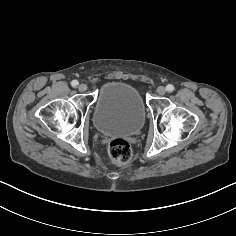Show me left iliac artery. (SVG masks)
Segmentation results:
<instances>
[{"instance_id": "obj_1", "label": "left iliac artery", "mask_w": 236, "mask_h": 236, "mask_svg": "<svg viewBox=\"0 0 236 236\" xmlns=\"http://www.w3.org/2000/svg\"><path fill=\"white\" fill-rule=\"evenodd\" d=\"M173 90H174V86H173V85L168 84V85L166 86V91H167V92H172Z\"/></svg>"}]
</instances>
